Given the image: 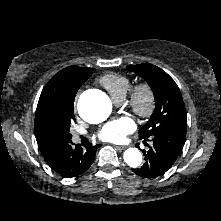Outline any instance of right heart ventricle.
<instances>
[{
    "instance_id": "e07e8e85",
    "label": "right heart ventricle",
    "mask_w": 221,
    "mask_h": 221,
    "mask_svg": "<svg viewBox=\"0 0 221 221\" xmlns=\"http://www.w3.org/2000/svg\"><path fill=\"white\" fill-rule=\"evenodd\" d=\"M99 82L109 91L112 99H124L131 88V80L127 76L120 74H106L99 79Z\"/></svg>"
}]
</instances>
